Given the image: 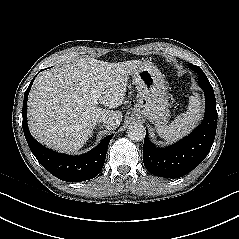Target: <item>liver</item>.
<instances>
[{
    "mask_svg": "<svg viewBox=\"0 0 239 239\" xmlns=\"http://www.w3.org/2000/svg\"><path fill=\"white\" fill-rule=\"evenodd\" d=\"M137 64V60L109 63L85 57L43 72L28 98L33 137L56 151L76 153L91 137L99 117H109L105 127L116 129L123 116L113 109L122 104L128 76ZM93 95L97 104L109 109L94 105Z\"/></svg>",
    "mask_w": 239,
    "mask_h": 239,
    "instance_id": "obj_1",
    "label": "liver"
}]
</instances>
